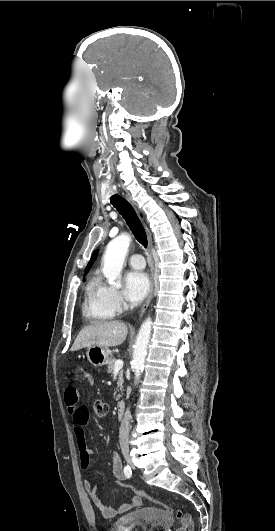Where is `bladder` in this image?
I'll use <instances>...</instances> for the list:
<instances>
[{
    "label": "bladder",
    "mask_w": 275,
    "mask_h": 531,
    "mask_svg": "<svg viewBox=\"0 0 275 531\" xmlns=\"http://www.w3.org/2000/svg\"><path fill=\"white\" fill-rule=\"evenodd\" d=\"M172 515L157 506H144L115 519L107 531H170Z\"/></svg>",
    "instance_id": "1"
}]
</instances>
